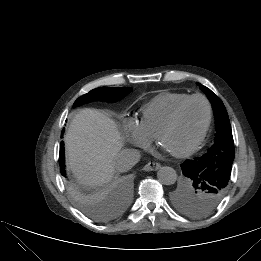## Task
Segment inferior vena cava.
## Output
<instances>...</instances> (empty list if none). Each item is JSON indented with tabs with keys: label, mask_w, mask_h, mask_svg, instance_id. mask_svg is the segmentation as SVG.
Instances as JSON below:
<instances>
[{
	"label": "inferior vena cava",
	"mask_w": 261,
	"mask_h": 261,
	"mask_svg": "<svg viewBox=\"0 0 261 261\" xmlns=\"http://www.w3.org/2000/svg\"><path fill=\"white\" fill-rule=\"evenodd\" d=\"M140 157L136 149H122L114 158L113 166L118 172H126L139 162Z\"/></svg>",
	"instance_id": "obj_1"
}]
</instances>
